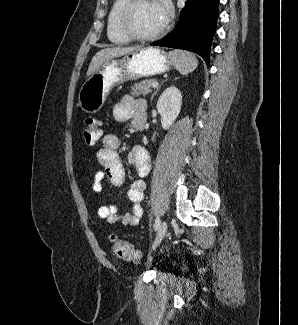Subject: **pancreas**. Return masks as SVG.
Segmentation results:
<instances>
[{"instance_id":"obj_1","label":"pancreas","mask_w":298,"mask_h":325,"mask_svg":"<svg viewBox=\"0 0 298 325\" xmlns=\"http://www.w3.org/2000/svg\"><path fill=\"white\" fill-rule=\"evenodd\" d=\"M152 82H155V78H145V80L135 82V84L130 86V94H132V96H145V94H149V92H152L150 86Z\"/></svg>"}]
</instances>
